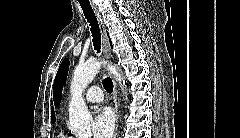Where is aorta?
Masks as SVG:
<instances>
[{"instance_id":"obj_1","label":"aorta","mask_w":240,"mask_h":138,"mask_svg":"<svg viewBox=\"0 0 240 138\" xmlns=\"http://www.w3.org/2000/svg\"><path fill=\"white\" fill-rule=\"evenodd\" d=\"M102 64L105 65L106 63L98 60H90L82 65H78L73 73L70 86L71 101L69 103V120L70 130L78 138H89L91 136L90 123L92 117L82 94L89 83L94 79ZM108 69L121 84L123 78L120 70L113 65H108ZM123 89L122 86V90Z\"/></svg>"}]
</instances>
